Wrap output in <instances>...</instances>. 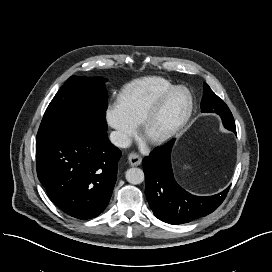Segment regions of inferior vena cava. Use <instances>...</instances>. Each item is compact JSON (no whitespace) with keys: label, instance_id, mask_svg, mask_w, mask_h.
I'll use <instances>...</instances> for the list:
<instances>
[{"label":"inferior vena cava","instance_id":"1","mask_svg":"<svg viewBox=\"0 0 272 272\" xmlns=\"http://www.w3.org/2000/svg\"><path fill=\"white\" fill-rule=\"evenodd\" d=\"M110 141L112 144L120 148H127L131 144L130 137L119 131H112L110 133Z\"/></svg>","mask_w":272,"mask_h":272}]
</instances>
